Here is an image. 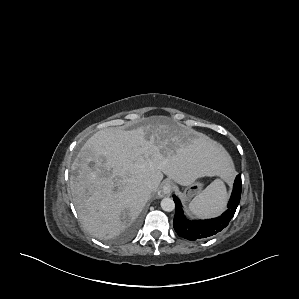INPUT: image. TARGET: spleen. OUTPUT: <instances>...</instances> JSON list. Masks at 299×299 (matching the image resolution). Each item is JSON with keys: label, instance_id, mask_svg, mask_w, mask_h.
Instances as JSON below:
<instances>
[{"label": "spleen", "instance_id": "1", "mask_svg": "<svg viewBox=\"0 0 299 299\" xmlns=\"http://www.w3.org/2000/svg\"><path fill=\"white\" fill-rule=\"evenodd\" d=\"M226 200V187L222 180L216 179L194 197L189 204V210L198 217H215L224 210Z\"/></svg>", "mask_w": 299, "mask_h": 299}]
</instances>
